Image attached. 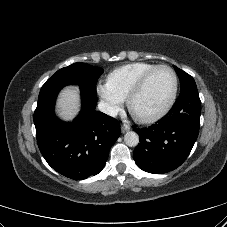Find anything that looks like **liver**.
Returning <instances> with one entry per match:
<instances>
[{"instance_id": "6515ba94", "label": "liver", "mask_w": 227, "mask_h": 227, "mask_svg": "<svg viewBox=\"0 0 227 227\" xmlns=\"http://www.w3.org/2000/svg\"><path fill=\"white\" fill-rule=\"evenodd\" d=\"M81 99L77 86L65 87L57 100V115L64 121L73 120L80 111Z\"/></svg>"}]
</instances>
